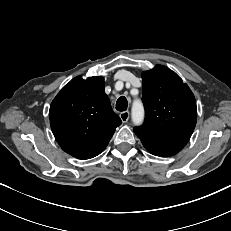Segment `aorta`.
<instances>
[{
    "mask_svg": "<svg viewBox=\"0 0 231 231\" xmlns=\"http://www.w3.org/2000/svg\"><path fill=\"white\" fill-rule=\"evenodd\" d=\"M144 120V108L142 103L137 100L132 106V121L134 125H141Z\"/></svg>",
    "mask_w": 231,
    "mask_h": 231,
    "instance_id": "obj_1",
    "label": "aorta"
}]
</instances>
